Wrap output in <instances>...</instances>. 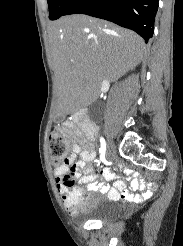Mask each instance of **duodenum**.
I'll list each match as a JSON object with an SVG mask.
<instances>
[{
  "label": "duodenum",
  "instance_id": "duodenum-1",
  "mask_svg": "<svg viewBox=\"0 0 183 246\" xmlns=\"http://www.w3.org/2000/svg\"><path fill=\"white\" fill-rule=\"evenodd\" d=\"M74 119L75 121L82 119L81 127L88 138L93 139L95 137L97 132L96 125L84 118V111H79L75 113Z\"/></svg>",
  "mask_w": 183,
  "mask_h": 246
}]
</instances>
